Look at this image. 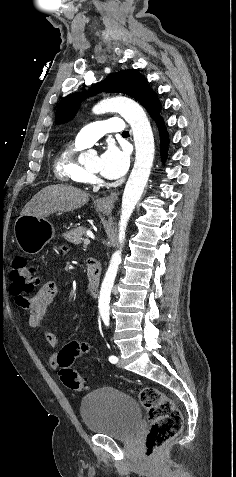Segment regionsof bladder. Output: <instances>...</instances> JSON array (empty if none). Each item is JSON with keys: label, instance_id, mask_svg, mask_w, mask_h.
Returning <instances> with one entry per match:
<instances>
[{"label": "bladder", "instance_id": "31cf9c89", "mask_svg": "<svg viewBox=\"0 0 236 477\" xmlns=\"http://www.w3.org/2000/svg\"><path fill=\"white\" fill-rule=\"evenodd\" d=\"M80 414L88 432L114 439H132L141 423L139 404L114 387H100L80 404Z\"/></svg>", "mask_w": 236, "mask_h": 477}]
</instances>
